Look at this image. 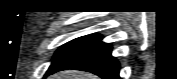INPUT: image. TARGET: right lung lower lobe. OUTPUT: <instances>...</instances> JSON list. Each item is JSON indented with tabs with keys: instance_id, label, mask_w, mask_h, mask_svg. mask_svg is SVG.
Masks as SVG:
<instances>
[{
	"instance_id": "98d812e1",
	"label": "right lung lower lobe",
	"mask_w": 177,
	"mask_h": 79,
	"mask_svg": "<svg viewBox=\"0 0 177 79\" xmlns=\"http://www.w3.org/2000/svg\"><path fill=\"white\" fill-rule=\"evenodd\" d=\"M102 36L94 34L79 47L69 53L57 65L50 68L47 75L65 69L92 72L103 79H120L119 63L111 56V45L101 42Z\"/></svg>"
}]
</instances>
